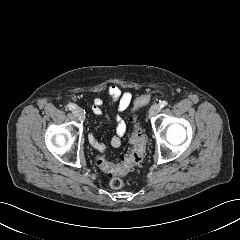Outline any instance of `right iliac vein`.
Masks as SVG:
<instances>
[{
	"mask_svg": "<svg viewBox=\"0 0 240 240\" xmlns=\"http://www.w3.org/2000/svg\"><path fill=\"white\" fill-rule=\"evenodd\" d=\"M74 115L78 118V120L80 121H84L85 119V114H84V111L77 107L75 110H74Z\"/></svg>",
	"mask_w": 240,
	"mask_h": 240,
	"instance_id": "obj_1",
	"label": "right iliac vein"
}]
</instances>
